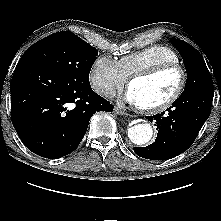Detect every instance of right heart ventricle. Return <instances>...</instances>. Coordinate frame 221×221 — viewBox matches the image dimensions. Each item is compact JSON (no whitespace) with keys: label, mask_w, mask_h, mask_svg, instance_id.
<instances>
[{"label":"right heart ventricle","mask_w":221,"mask_h":221,"mask_svg":"<svg viewBox=\"0 0 221 221\" xmlns=\"http://www.w3.org/2000/svg\"><path fill=\"white\" fill-rule=\"evenodd\" d=\"M163 63H179V56L172 48L160 44L145 47L118 60L119 67L127 78L140 70Z\"/></svg>","instance_id":"1"}]
</instances>
